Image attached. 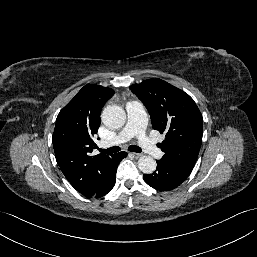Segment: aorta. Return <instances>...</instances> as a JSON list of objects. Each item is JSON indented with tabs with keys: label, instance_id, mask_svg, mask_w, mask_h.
Returning <instances> with one entry per match:
<instances>
[{
	"label": "aorta",
	"instance_id": "obj_1",
	"mask_svg": "<svg viewBox=\"0 0 257 257\" xmlns=\"http://www.w3.org/2000/svg\"><path fill=\"white\" fill-rule=\"evenodd\" d=\"M103 123L110 128L118 129L126 122V113L118 105L107 106L102 112ZM138 168L145 174H151L156 169V161L151 156H141L138 160Z\"/></svg>",
	"mask_w": 257,
	"mask_h": 257
}]
</instances>
